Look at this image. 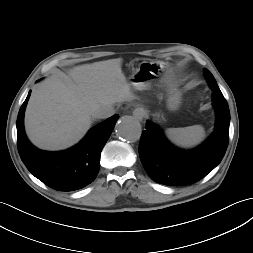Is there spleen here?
I'll use <instances>...</instances> for the list:
<instances>
[{"mask_svg": "<svg viewBox=\"0 0 253 253\" xmlns=\"http://www.w3.org/2000/svg\"><path fill=\"white\" fill-rule=\"evenodd\" d=\"M168 138L182 147H192L199 144L205 137L204 128L193 125L184 128H169L166 130Z\"/></svg>", "mask_w": 253, "mask_h": 253, "instance_id": "spleen-1", "label": "spleen"}]
</instances>
